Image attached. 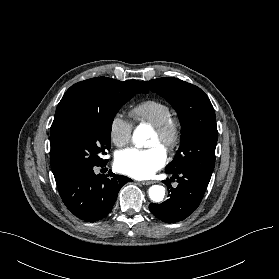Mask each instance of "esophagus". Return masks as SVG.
Instances as JSON below:
<instances>
[{
  "mask_svg": "<svg viewBox=\"0 0 279 279\" xmlns=\"http://www.w3.org/2000/svg\"><path fill=\"white\" fill-rule=\"evenodd\" d=\"M153 183H155V182L154 181H141L140 182V184H142V185H151Z\"/></svg>",
  "mask_w": 279,
  "mask_h": 279,
  "instance_id": "34e87169",
  "label": "esophagus"
}]
</instances>
